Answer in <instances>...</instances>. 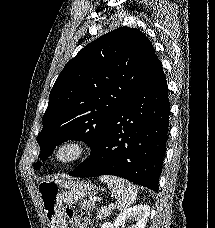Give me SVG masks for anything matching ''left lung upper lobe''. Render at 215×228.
Returning a JSON list of instances; mask_svg holds the SVG:
<instances>
[{
    "label": "left lung upper lobe",
    "mask_w": 215,
    "mask_h": 228,
    "mask_svg": "<svg viewBox=\"0 0 215 228\" xmlns=\"http://www.w3.org/2000/svg\"><path fill=\"white\" fill-rule=\"evenodd\" d=\"M140 30L120 27L87 44L59 74L37 142L45 161L56 145L82 140L91 150L155 59ZM40 162L37 163L39 169Z\"/></svg>",
    "instance_id": "1"
}]
</instances>
